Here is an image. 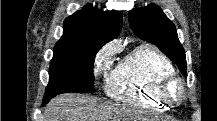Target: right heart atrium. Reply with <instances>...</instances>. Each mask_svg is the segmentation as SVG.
Segmentation results:
<instances>
[{
    "label": "right heart atrium",
    "mask_w": 217,
    "mask_h": 121,
    "mask_svg": "<svg viewBox=\"0 0 217 121\" xmlns=\"http://www.w3.org/2000/svg\"><path fill=\"white\" fill-rule=\"evenodd\" d=\"M113 52L114 48L108 45L97 54L94 67L95 74H100L105 69Z\"/></svg>",
    "instance_id": "d8ad5b80"
}]
</instances>
